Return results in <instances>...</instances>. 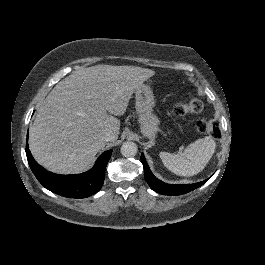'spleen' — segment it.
Wrapping results in <instances>:
<instances>
[{
	"mask_svg": "<svg viewBox=\"0 0 265 265\" xmlns=\"http://www.w3.org/2000/svg\"><path fill=\"white\" fill-rule=\"evenodd\" d=\"M217 144L206 137L190 144L185 152H161L160 158L163 165L172 173L183 177H192L201 173L212 156L215 154Z\"/></svg>",
	"mask_w": 265,
	"mask_h": 265,
	"instance_id": "1",
	"label": "spleen"
}]
</instances>
